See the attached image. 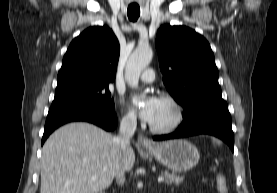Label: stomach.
Returning <instances> with one entry per match:
<instances>
[{
  "label": "stomach",
  "mask_w": 277,
  "mask_h": 193,
  "mask_svg": "<svg viewBox=\"0 0 277 193\" xmlns=\"http://www.w3.org/2000/svg\"><path fill=\"white\" fill-rule=\"evenodd\" d=\"M146 151L161 164L178 173L193 168L200 157L197 148L183 139L157 143L153 147L146 148Z\"/></svg>",
  "instance_id": "0dacf381"
}]
</instances>
